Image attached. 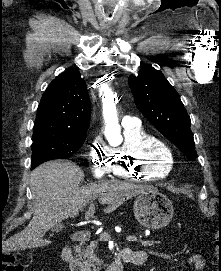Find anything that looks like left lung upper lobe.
I'll list each match as a JSON object with an SVG mask.
<instances>
[{
	"mask_svg": "<svg viewBox=\"0 0 221 271\" xmlns=\"http://www.w3.org/2000/svg\"><path fill=\"white\" fill-rule=\"evenodd\" d=\"M136 106L146 119L190 159L197 157L191 120L177 91L161 71L146 66L129 76Z\"/></svg>",
	"mask_w": 221,
	"mask_h": 271,
	"instance_id": "obj_1",
	"label": "left lung upper lobe"
}]
</instances>
